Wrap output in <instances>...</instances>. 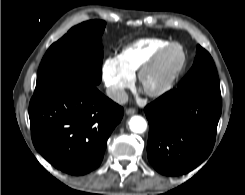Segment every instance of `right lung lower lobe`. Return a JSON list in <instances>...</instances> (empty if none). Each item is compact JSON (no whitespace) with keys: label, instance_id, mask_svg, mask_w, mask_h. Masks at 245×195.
<instances>
[{"label":"right lung lower lobe","instance_id":"obj_1","mask_svg":"<svg viewBox=\"0 0 245 195\" xmlns=\"http://www.w3.org/2000/svg\"><path fill=\"white\" fill-rule=\"evenodd\" d=\"M29 117L37 151L55 168L79 176L100 165L123 108L95 85L72 83L34 95Z\"/></svg>","mask_w":245,"mask_h":195}]
</instances>
